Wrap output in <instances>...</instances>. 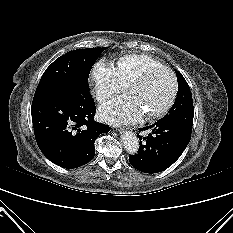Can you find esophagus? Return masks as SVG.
<instances>
[{"label": "esophagus", "instance_id": "1", "mask_svg": "<svg viewBox=\"0 0 233 233\" xmlns=\"http://www.w3.org/2000/svg\"><path fill=\"white\" fill-rule=\"evenodd\" d=\"M127 130H129V131H133V129H132V128H128ZM119 131H121V130H119Z\"/></svg>", "mask_w": 233, "mask_h": 233}]
</instances>
